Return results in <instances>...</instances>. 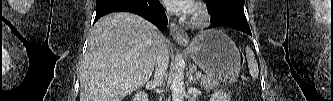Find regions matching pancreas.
<instances>
[{
  "instance_id": "cf45deb5",
  "label": "pancreas",
  "mask_w": 333,
  "mask_h": 101,
  "mask_svg": "<svg viewBox=\"0 0 333 101\" xmlns=\"http://www.w3.org/2000/svg\"><path fill=\"white\" fill-rule=\"evenodd\" d=\"M201 85L204 89L211 90L215 88L216 81L210 75L205 74L202 76Z\"/></svg>"
}]
</instances>
